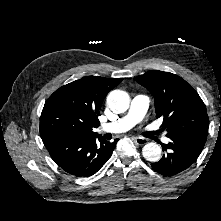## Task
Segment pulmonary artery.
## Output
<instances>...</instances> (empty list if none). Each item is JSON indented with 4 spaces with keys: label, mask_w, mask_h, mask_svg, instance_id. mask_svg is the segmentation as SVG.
<instances>
[{
    "label": "pulmonary artery",
    "mask_w": 221,
    "mask_h": 221,
    "mask_svg": "<svg viewBox=\"0 0 221 221\" xmlns=\"http://www.w3.org/2000/svg\"><path fill=\"white\" fill-rule=\"evenodd\" d=\"M150 100L146 95L138 94L131 100L128 112L116 121L101 126V131L111 133H122L128 131L138 122H140L149 107ZM164 142H168L167 138L163 139Z\"/></svg>",
    "instance_id": "obj_1"
}]
</instances>
